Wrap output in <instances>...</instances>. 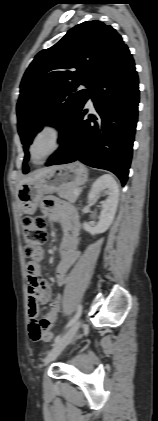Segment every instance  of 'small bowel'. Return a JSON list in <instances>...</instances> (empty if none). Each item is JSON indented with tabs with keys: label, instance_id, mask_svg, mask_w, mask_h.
I'll return each instance as SVG.
<instances>
[{
	"label": "small bowel",
	"instance_id": "obj_1",
	"mask_svg": "<svg viewBox=\"0 0 158 421\" xmlns=\"http://www.w3.org/2000/svg\"><path fill=\"white\" fill-rule=\"evenodd\" d=\"M41 209L48 218L59 223L63 232L59 248L60 261L55 271L56 282L61 286L65 282L67 271L80 255L78 213L72 206L55 197L45 198ZM43 257L44 251L40 249L37 257L27 264L29 331L33 340H35L33 332L36 330L51 333L59 317L61 306V296L57 295L49 303L48 313L39 320L40 305L47 304L51 299L50 284L42 277L40 270V261Z\"/></svg>",
	"mask_w": 158,
	"mask_h": 421
}]
</instances>
